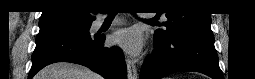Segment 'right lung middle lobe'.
Here are the masks:
<instances>
[{
    "label": "right lung middle lobe",
    "mask_w": 255,
    "mask_h": 79,
    "mask_svg": "<svg viewBox=\"0 0 255 79\" xmlns=\"http://www.w3.org/2000/svg\"><path fill=\"white\" fill-rule=\"evenodd\" d=\"M91 22L81 20L71 14L51 16L39 20L40 31L38 35L54 31L89 34Z\"/></svg>",
    "instance_id": "obj_1"
}]
</instances>
